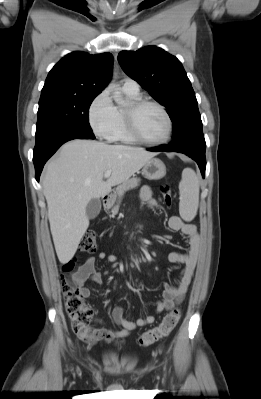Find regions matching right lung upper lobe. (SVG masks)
Instances as JSON below:
<instances>
[{"mask_svg":"<svg viewBox=\"0 0 261 399\" xmlns=\"http://www.w3.org/2000/svg\"><path fill=\"white\" fill-rule=\"evenodd\" d=\"M112 63L110 53L90 55L81 51L72 52L49 72L41 97L98 95L111 79Z\"/></svg>","mask_w":261,"mask_h":399,"instance_id":"obj_1","label":"right lung upper lobe"}]
</instances>
